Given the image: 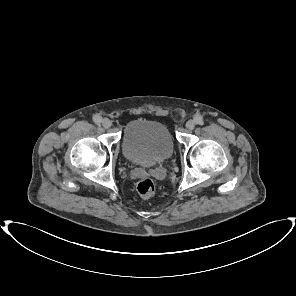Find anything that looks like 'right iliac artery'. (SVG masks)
<instances>
[{
  "instance_id": "82829eb1",
  "label": "right iliac artery",
  "mask_w": 296,
  "mask_h": 296,
  "mask_svg": "<svg viewBox=\"0 0 296 296\" xmlns=\"http://www.w3.org/2000/svg\"><path fill=\"white\" fill-rule=\"evenodd\" d=\"M93 120L96 124H100L102 121V118L100 116L96 115L93 117Z\"/></svg>"
}]
</instances>
